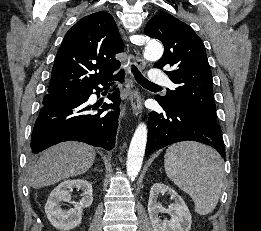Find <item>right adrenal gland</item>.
Here are the masks:
<instances>
[{"mask_svg":"<svg viewBox=\"0 0 261 231\" xmlns=\"http://www.w3.org/2000/svg\"><path fill=\"white\" fill-rule=\"evenodd\" d=\"M94 171H97V168H94Z\"/></svg>","mask_w":261,"mask_h":231,"instance_id":"right-adrenal-gland-1","label":"right adrenal gland"}]
</instances>
